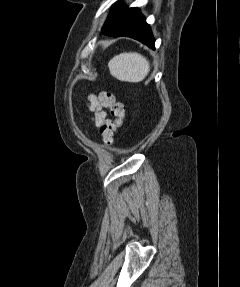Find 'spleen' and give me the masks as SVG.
Wrapping results in <instances>:
<instances>
[{"mask_svg": "<svg viewBox=\"0 0 240 287\" xmlns=\"http://www.w3.org/2000/svg\"><path fill=\"white\" fill-rule=\"evenodd\" d=\"M110 74L124 82H140L150 71L149 61L139 53H120L108 63Z\"/></svg>", "mask_w": 240, "mask_h": 287, "instance_id": "obj_1", "label": "spleen"}]
</instances>
